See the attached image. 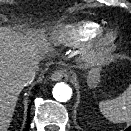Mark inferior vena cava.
I'll return each instance as SVG.
<instances>
[{
    "instance_id": "obj_1",
    "label": "inferior vena cava",
    "mask_w": 131,
    "mask_h": 131,
    "mask_svg": "<svg viewBox=\"0 0 131 131\" xmlns=\"http://www.w3.org/2000/svg\"><path fill=\"white\" fill-rule=\"evenodd\" d=\"M37 68H38V66L34 65V66L28 68L27 70L22 71L19 75V78H18L19 83L22 86H27L28 84H31L35 78Z\"/></svg>"
}]
</instances>
